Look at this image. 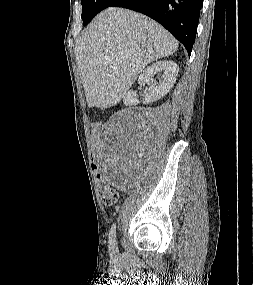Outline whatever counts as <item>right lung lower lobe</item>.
Instances as JSON below:
<instances>
[{
    "instance_id": "1",
    "label": "right lung lower lobe",
    "mask_w": 253,
    "mask_h": 285,
    "mask_svg": "<svg viewBox=\"0 0 253 285\" xmlns=\"http://www.w3.org/2000/svg\"><path fill=\"white\" fill-rule=\"evenodd\" d=\"M203 0H116L110 6L141 12L164 26L191 54Z\"/></svg>"
}]
</instances>
